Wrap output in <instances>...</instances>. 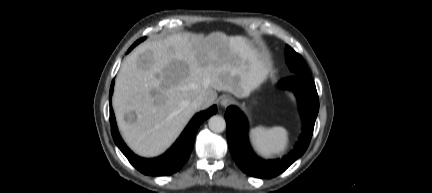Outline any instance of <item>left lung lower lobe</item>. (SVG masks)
I'll return each instance as SVG.
<instances>
[{
  "label": "left lung lower lobe",
  "mask_w": 432,
  "mask_h": 193,
  "mask_svg": "<svg viewBox=\"0 0 432 193\" xmlns=\"http://www.w3.org/2000/svg\"><path fill=\"white\" fill-rule=\"evenodd\" d=\"M280 87L289 89L297 97L304 133L294 151L283 159L263 160L255 155L247 139V121L234 106L226 110L227 139L230 152L238 166L248 175L272 178L285 171L307 149L313 134L319 110L318 94L311 75H294L280 81Z\"/></svg>",
  "instance_id": "1"
}]
</instances>
